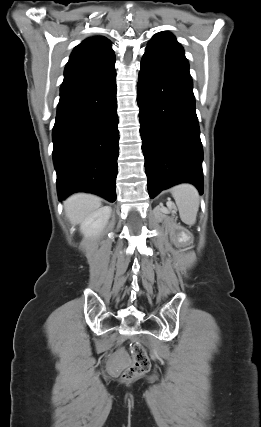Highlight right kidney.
Returning <instances> with one entry per match:
<instances>
[{
	"label": "right kidney",
	"instance_id": "right-kidney-1",
	"mask_svg": "<svg viewBox=\"0 0 261 427\" xmlns=\"http://www.w3.org/2000/svg\"><path fill=\"white\" fill-rule=\"evenodd\" d=\"M111 215V208L104 206L88 216L80 225V231L86 237L96 236L104 229Z\"/></svg>",
	"mask_w": 261,
	"mask_h": 427
}]
</instances>
